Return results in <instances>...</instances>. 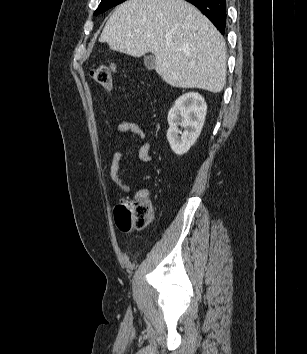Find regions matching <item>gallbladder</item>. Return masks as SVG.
Here are the masks:
<instances>
[{
  "mask_svg": "<svg viewBox=\"0 0 307 354\" xmlns=\"http://www.w3.org/2000/svg\"><path fill=\"white\" fill-rule=\"evenodd\" d=\"M144 65L147 69L152 70L155 68V57L152 55L144 58Z\"/></svg>",
  "mask_w": 307,
  "mask_h": 354,
  "instance_id": "obj_1",
  "label": "gallbladder"
}]
</instances>
